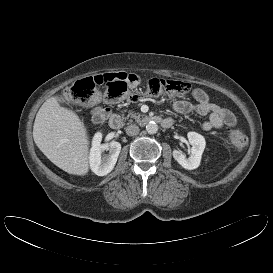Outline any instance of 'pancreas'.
<instances>
[{"mask_svg": "<svg viewBox=\"0 0 273 273\" xmlns=\"http://www.w3.org/2000/svg\"><path fill=\"white\" fill-rule=\"evenodd\" d=\"M129 117L134 118V119H139L140 114L132 112V113L128 114L127 117H124V116H123L122 118H123V119H127V118H129Z\"/></svg>", "mask_w": 273, "mask_h": 273, "instance_id": "pancreas-1", "label": "pancreas"}]
</instances>
